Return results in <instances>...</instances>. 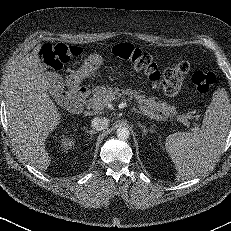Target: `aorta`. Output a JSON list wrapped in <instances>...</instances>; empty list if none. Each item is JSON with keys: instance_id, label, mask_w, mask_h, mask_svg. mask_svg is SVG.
Listing matches in <instances>:
<instances>
[{"instance_id": "762f6f07", "label": "aorta", "mask_w": 231, "mask_h": 231, "mask_svg": "<svg viewBox=\"0 0 231 231\" xmlns=\"http://www.w3.org/2000/svg\"><path fill=\"white\" fill-rule=\"evenodd\" d=\"M117 138L120 140L128 139L130 136V132L126 127H120L116 131Z\"/></svg>"}]
</instances>
